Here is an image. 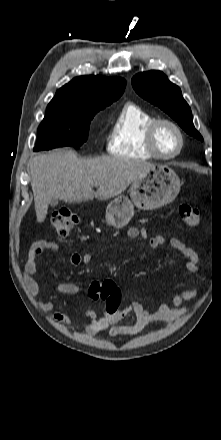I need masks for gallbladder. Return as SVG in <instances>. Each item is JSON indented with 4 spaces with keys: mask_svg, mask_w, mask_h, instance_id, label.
<instances>
[{
    "mask_svg": "<svg viewBox=\"0 0 221 440\" xmlns=\"http://www.w3.org/2000/svg\"><path fill=\"white\" fill-rule=\"evenodd\" d=\"M57 204H58V200H57V199H53V200L50 202V206H51V207H55Z\"/></svg>",
    "mask_w": 221,
    "mask_h": 440,
    "instance_id": "1",
    "label": "gallbladder"
}]
</instances>
